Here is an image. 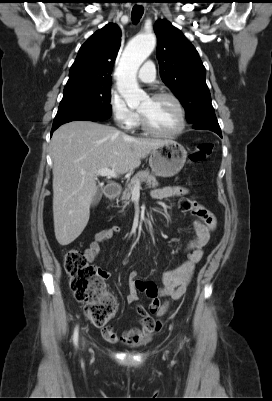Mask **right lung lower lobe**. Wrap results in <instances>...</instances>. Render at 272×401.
I'll return each instance as SVG.
<instances>
[{
	"instance_id": "1",
	"label": "right lung lower lobe",
	"mask_w": 272,
	"mask_h": 401,
	"mask_svg": "<svg viewBox=\"0 0 272 401\" xmlns=\"http://www.w3.org/2000/svg\"><path fill=\"white\" fill-rule=\"evenodd\" d=\"M75 120H87V121H94V122H96V121H102V120H100V119L93 118V117H78V118H74V119L68 120V121L63 122V123H60V124L53 125V126H52V130H51V133H53L60 125H62V124H64V123H67V122H70V121H75Z\"/></svg>"
}]
</instances>
